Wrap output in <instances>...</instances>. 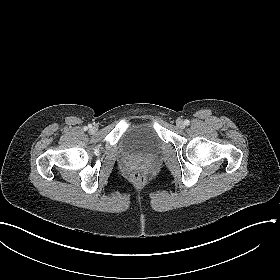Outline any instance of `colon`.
Wrapping results in <instances>:
<instances>
[{
    "instance_id": "colon-1",
    "label": "colon",
    "mask_w": 280,
    "mask_h": 280,
    "mask_svg": "<svg viewBox=\"0 0 280 280\" xmlns=\"http://www.w3.org/2000/svg\"><path fill=\"white\" fill-rule=\"evenodd\" d=\"M132 181L136 186H141L145 182V175L144 173L139 169L136 168L132 171Z\"/></svg>"
}]
</instances>
